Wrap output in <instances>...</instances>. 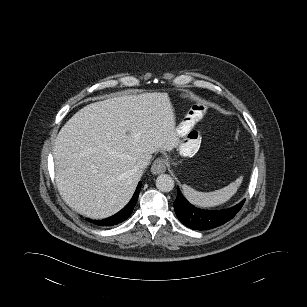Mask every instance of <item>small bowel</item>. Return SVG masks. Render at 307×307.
<instances>
[{
    "label": "small bowel",
    "mask_w": 307,
    "mask_h": 307,
    "mask_svg": "<svg viewBox=\"0 0 307 307\" xmlns=\"http://www.w3.org/2000/svg\"><path fill=\"white\" fill-rule=\"evenodd\" d=\"M206 108L203 105H195L187 115L185 122L174 129V134L178 138H186L195 130V124L205 115Z\"/></svg>",
    "instance_id": "obj_1"
}]
</instances>
